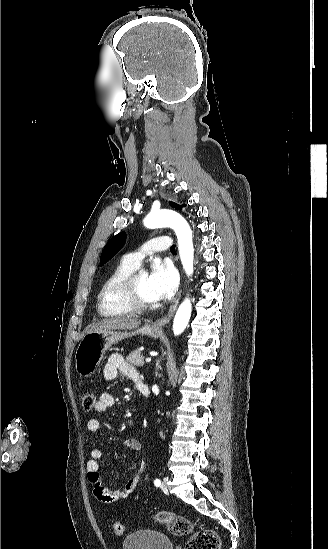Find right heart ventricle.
<instances>
[{"instance_id":"e07e8e85","label":"right heart ventricle","mask_w":328,"mask_h":549,"mask_svg":"<svg viewBox=\"0 0 328 549\" xmlns=\"http://www.w3.org/2000/svg\"><path fill=\"white\" fill-rule=\"evenodd\" d=\"M140 262L131 260L130 255H124L102 284L97 296V311L102 319H132L128 313L119 312L114 306L120 305L115 291L119 282L129 273L137 269Z\"/></svg>"}]
</instances>
